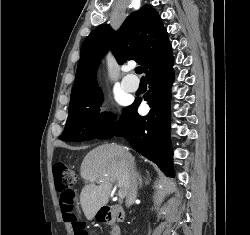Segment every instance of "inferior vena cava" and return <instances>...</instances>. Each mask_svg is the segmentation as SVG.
Masks as SVG:
<instances>
[{"label": "inferior vena cava", "mask_w": 250, "mask_h": 235, "mask_svg": "<svg viewBox=\"0 0 250 235\" xmlns=\"http://www.w3.org/2000/svg\"><path fill=\"white\" fill-rule=\"evenodd\" d=\"M122 157L124 161H126L129 164V176H130V183L129 188L127 192V200H126V206H130L131 203L135 200L137 195V172L135 170L134 164H133V157L128 152V149L122 148Z\"/></svg>", "instance_id": "602c4592"}]
</instances>
